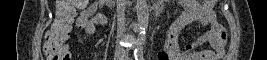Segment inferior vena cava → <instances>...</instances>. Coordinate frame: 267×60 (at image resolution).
<instances>
[{
  "label": "inferior vena cava",
  "instance_id": "obj_1",
  "mask_svg": "<svg viewBox=\"0 0 267 60\" xmlns=\"http://www.w3.org/2000/svg\"><path fill=\"white\" fill-rule=\"evenodd\" d=\"M120 6L118 7V26L121 31L126 30V23L124 18L125 0H117Z\"/></svg>",
  "mask_w": 267,
  "mask_h": 60
}]
</instances>
